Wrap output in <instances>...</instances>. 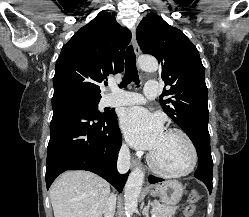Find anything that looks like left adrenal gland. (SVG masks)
<instances>
[{
	"mask_svg": "<svg viewBox=\"0 0 249 217\" xmlns=\"http://www.w3.org/2000/svg\"><path fill=\"white\" fill-rule=\"evenodd\" d=\"M142 213H143V215H145V217H150L149 216V203L147 206L144 207Z\"/></svg>",
	"mask_w": 249,
	"mask_h": 217,
	"instance_id": "obj_1",
	"label": "left adrenal gland"
}]
</instances>
